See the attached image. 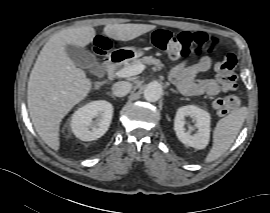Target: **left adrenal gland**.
<instances>
[{"label": "left adrenal gland", "mask_w": 270, "mask_h": 213, "mask_svg": "<svg viewBox=\"0 0 270 213\" xmlns=\"http://www.w3.org/2000/svg\"><path fill=\"white\" fill-rule=\"evenodd\" d=\"M170 90H171L172 92H174V93H178L176 90H174V89H172V88H171Z\"/></svg>", "instance_id": "a2214340"}]
</instances>
